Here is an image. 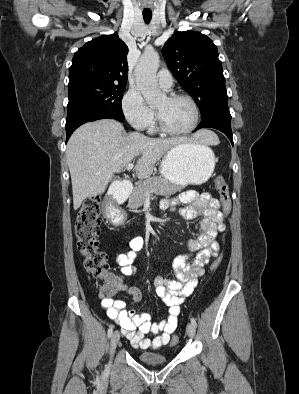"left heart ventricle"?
I'll use <instances>...</instances> for the list:
<instances>
[{"label": "left heart ventricle", "mask_w": 299, "mask_h": 394, "mask_svg": "<svg viewBox=\"0 0 299 394\" xmlns=\"http://www.w3.org/2000/svg\"><path fill=\"white\" fill-rule=\"evenodd\" d=\"M155 108L172 129L184 130L193 124L194 111L186 100H169L164 96L155 104Z\"/></svg>", "instance_id": "obj_1"}]
</instances>
